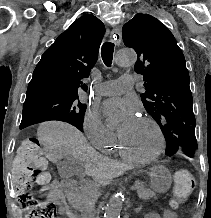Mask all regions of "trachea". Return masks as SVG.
Instances as JSON below:
<instances>
[{
    "mask_svg": "<svg viewBox=\"0 0 211 218\" xmlns=\"http://www.w3.org/2000/svg\"><path fill=\"white\" fill-rule=\"evenodd\" d=\"M113 52H114V43L105 42L102 45L101 56L102 60L107 67H111L113 60Z\"/></svg>",
    "mask_w": 211,
    "mask_h": 218,
    "instance_id": "obj_1",
    "label": "trachea"
}]
</instances>
